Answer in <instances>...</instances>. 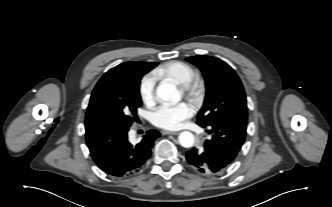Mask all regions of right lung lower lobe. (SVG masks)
Segmentation results:
<instances>
[{"label": "right lung lower lobe", "mask_w": 332, "mask_h": 207, "mask_svg": "<svg viewBox=\"0 0 332 207\" xmlns=\"http://www.w3.org/2000/svg\"><path fill=\"white\" fill-rule=\"evenodd\" d=\"M128 130L114 128L86 134L93 160L109 175L126 177L138 172L150 158L154 141L160 136L158 131L150 130L141 142L132 145Z\"/></svg>", "instance_id": "right-lung-lower-lobe-1"}]
</instances>
